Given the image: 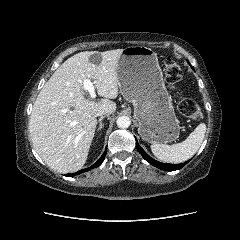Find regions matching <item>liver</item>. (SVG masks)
<instances>
[{
  "label": "liver",
  "instance_id": "liver-1",
  "mask_svg": "<svg viewBox=\"0 0 240 240\" xmlns=\"http://www.w3.org/2000/svg\"><path fill=\"white\" fill-rule=\"evenodd\" d=\"M123 49L85 51L68 58L45 83L33 105L29 130L36 152L52 169L70 173L81 169L97 125L96 113L116 111L118 62ZM100 55L94 64L90 57ZM93 80L101 100L85 97L82 81Z\"/></svg>",
  "mask_w": 240,
  "mask_h": 240
}]
</instances>
